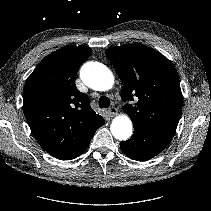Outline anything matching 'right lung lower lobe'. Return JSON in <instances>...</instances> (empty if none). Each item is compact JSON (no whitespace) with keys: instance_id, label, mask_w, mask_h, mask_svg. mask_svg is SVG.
Listing matches in <instances>:
<instances>
[{"instance_id":"98d812e1","label":"right lung lower lobe","mask_w":211,"mask_h":211,"mask_svg":"<svg viewBox=\"0 0 211 211\" xmlns=\"http://www.w3.org/2000/svg\"><path fill=\"white\" fill-rule=\"evenodd\" d=\"M93 135L90 136L86 141H84L80 145H78L72 151L68 152L65 155H62L61 157H59V159H61V160H70V159L76 158L79 155H81L86 150V148L88 147V145L90 143V140L93 137Z\"/></svg>"}]
</instances>
